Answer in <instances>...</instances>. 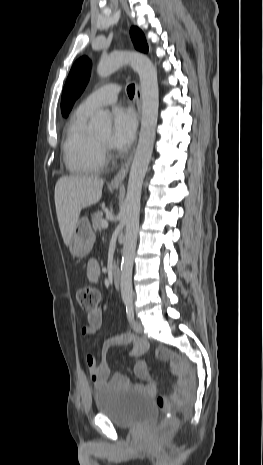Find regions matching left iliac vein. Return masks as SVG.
<instances>
[{"label": "left iliac vein", "instance_id": "4c4485c4", "mask_svg": "<svg viewBox=\"0 0 263 465\" xmlns=\"http://www.w3.org/2000/svg\"><path fill=\"white\" fill-rule=\"evenodd\" d=\"M132 328L136 333L141 334L143 332V325L139 320H133Z\"/></svg>", "mask_w": 263, "mask_h": 465}]
</instances>
